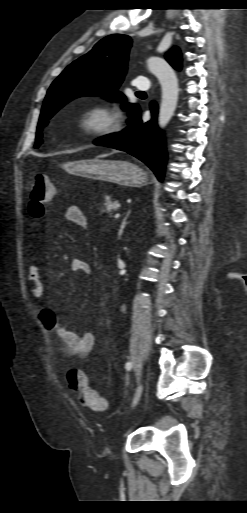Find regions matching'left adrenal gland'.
Segmentation results:
<instances>
[{"label": "left adrenal gland", "mask_w": 247, "mask_h": 513, "mask_svg": "<svg viewBox=\"0 0 247 513\" xmlns=\"http://www.w3.org/2000/svg\"><path fill=\"white\" fill-rule=\"evenodd\" d=\"M130 213H131V211L128 210V212L126 213V216L124 217V219L121 222L120 228L118 230V239H121V236L123 234V230H124V228H125V226L127 224V219L129 217Z\"/></svg>", "instance_id": "left-adrenal-gland-1"}]
</instances>
